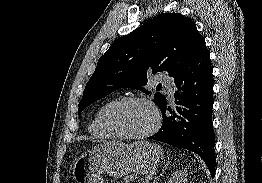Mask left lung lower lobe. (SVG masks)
I'll return each instance as SVG.
<instances>
[{"mask_svg":"<svg viewBox=\"0 0 262 183\" xmlns=\"http://www.w3.org/2000/svg\"><path fill=\"white\" fill-rule=\"evenodd\" d=\"M176 107H160L163 123L148 139L198 154L215 174V138L212 125L213 78L209 51L204 47L173 77ZM170 113V114H169Z\"/></svg>","mask_w":262,"mask_h":183,"instance_id":"1","label":"left lung lower lobe"}]
</instances>
